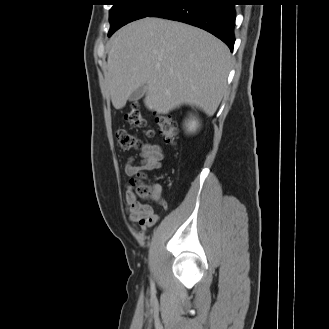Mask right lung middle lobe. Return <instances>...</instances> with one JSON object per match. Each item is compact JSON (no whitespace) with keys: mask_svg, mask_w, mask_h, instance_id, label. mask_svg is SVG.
I'll return each mask as SVG.
<instances>
[{"mask_svg":"<svg viewBox=\"0 0 329 329\" xmlns=\"http://www.w3.org/2000/svg\"><path fill=\"white\" fill-rule=\"evenodd\" d=\"M113 7L110 10V30L111 36L123 25L150 16L162 6L172 0H111Z\"/></svg>","mask_w":329,"mask_h":329,"instance_id":"1","label":"right lung middle lobe"}]
</instances>
